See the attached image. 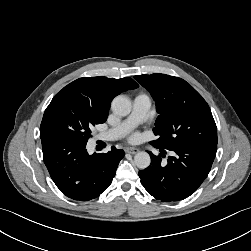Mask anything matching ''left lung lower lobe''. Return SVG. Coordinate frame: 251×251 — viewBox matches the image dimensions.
<instances>
[{
  "label": "left lung lower lobe",
  "instance_id": "left-lung-lower-lobe-1",
  "mask_svg": "<svg viewBox=\"0 0 251 251\" xmlns=\"http://www.w3.org/2000/svg\"><path fill=\"white\" fill-rule=\"evenodd\" d=\"M216 150L217 145L206 143L176 146L171 149L176 156H169L167 163L162 162L163 156L149 152L151 165L139 171L141 183L158 200H183L193 194L207 177Z\"/></svg>",
  "mask_w": 251,
  "mask_h": 251
}]
</instances>
